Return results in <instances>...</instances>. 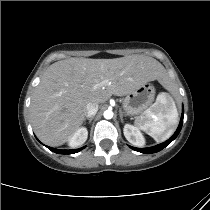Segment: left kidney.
I'll list each match as a JSON object with an SVG mask.
<instances>
[{"instance_id":"5707ae66","label":"left kidney","mask_w":210,"mask_h":210,"mask_svg":"<svg viewBox=\"0 0 210 210\" xmlns=\"http://www.w3.org/2000/svg\"><path fill=\"white\" fill-rule=\"evenodd\" d=\"M123 133L125 138L133 145L141 147L145 144V139L140 132V130L131 125V124H125L123 128Z\"/></svg>"}]
</instances>
